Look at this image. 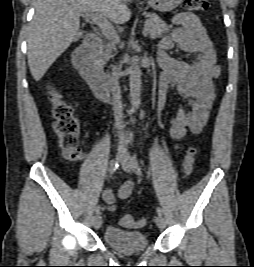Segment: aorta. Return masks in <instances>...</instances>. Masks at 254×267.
<instances>
[{
  "label": "aorta",
  "mask_w": 254,
  "mask_h": 267,
  "mask_svg": "<svg viewBox=\"0 0 254 267\" xmlns=\"http://www.w3.org/2000/svg\"><path fill=\"white\" fill-rule=\"evenodd\" d=\"M130 97L132 105V113H135L139 108L141 102V69L137 63L133 64L130 68ZM135 121V119H133Z\"/></svg>",
  "instance_id": "aorta-1"
}]
</instances>
